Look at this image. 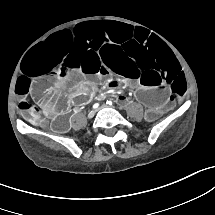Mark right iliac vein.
Instances as JSON below:
<instances>
[{"instance_id":"1","label":"right iliac vein","mask_w":215,"mask_h":215,"mask_svg":"<svg viewBox=\"0 0 215 215\" xmlns=\"http://www.w3.org/2000/svg\"><path fill=\"white\" fill-rule=\"evenodd\" d=\"M94 114H95V111H90L88 113V118H92L94 116Z\"/></svg>"}]
</instances>
